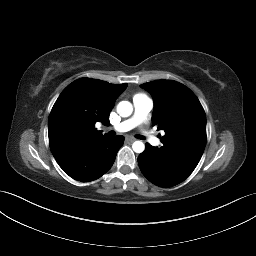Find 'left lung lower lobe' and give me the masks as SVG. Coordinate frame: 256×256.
I'll return each mask as SVG.
<instances>
[{"label":"left lung lower lobe","instance_id":"0a47b994","mask_svg":"<svg viewBox=\"0 0 256 256\" xmlns=\"http://www.w3.org/2000/svg\"><path fill=\"white\" fill-rule=\"evenodd\" d=\"M143 175L160 187H172L184 181L195 168H191L161 154L157 147L146 144L145 151L138 157Z\"/></svg>","mask_w":256,"mask_h":256}]
</instances>
